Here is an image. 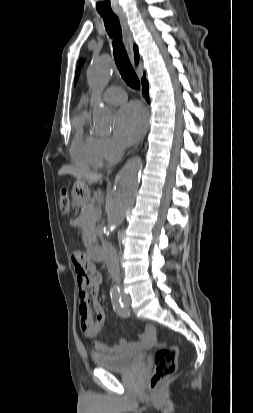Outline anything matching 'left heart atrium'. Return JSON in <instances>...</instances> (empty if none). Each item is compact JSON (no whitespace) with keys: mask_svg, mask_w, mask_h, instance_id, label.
<instances>
[{"mask_svg":"<svg viewBox=\"0 0 253 413\" xmlns=\"http://www.w3.org/2000/svg\"><path fill=\"white\" fill-rule=\"evenodd\" d=\"M145 126V111L137 103H130L123 106L116 114V138L124 145L131 144L138 140Z\"/></svg>","mask_w":253,"mask_h":413,"instance_id":"39dd6f15","label":"left heart atrium"}]
</instances>
